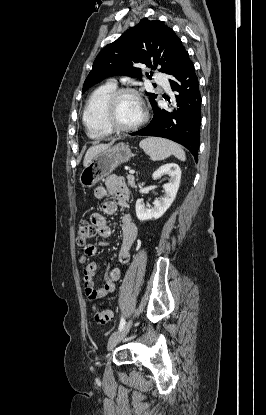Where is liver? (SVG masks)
<instances>
[{
	"label": "liver",
	"instance_id": "liver-1",
	"mask_svg": "<svg viewBox=\"0 0 266 415\" xmlns=\"http://www.w3.org/2000/svg\"><path fill=\"white\" fill-rule=\"evenodd\" d=\"M110 145L111 143L110 144H98L96 146L90 147L85 154L83 165L87 166L98 153L108 148Z\"/></svg>",
	"mask_w": 266,
	"mask_h": 415
}]
</instances>
